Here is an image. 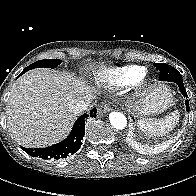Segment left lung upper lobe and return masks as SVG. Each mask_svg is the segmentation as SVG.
Returning a JSON list of instances; mask_svg holds the SVG:
<instances>
[{"label":"left lung upper lobe","mask_w":196,"mask_h":196,"mask_svg":"<svg viewBox=\"0 0 196 196\" xmlns=\"http://www.w3.org/2000/svg\"><path fill=\"white\" fill-rule=\"evenodd\" d=\"M163 63H154V66L161 72V70L157 66H162ZM173 68V67H172ZM175 69V68H174ZM175 73L181 77V74L175 69ZM162 77V74L160 73L159 79ZM162 81V80H161Z\"/></svg>","instance_id":"left-lung-upper-lobe-1"}]
</instances>
